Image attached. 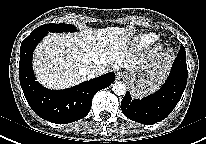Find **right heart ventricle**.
Listing matches in <instances>:
<instances>
[{
  "mask_svg": "<svg viewBox=\"0 0 206 144\" xmlns=\"http://www.w3.org/2000/svg\"><path fill=\"white\" fill-rule=\"evenodd\" d=\"M156 39L157 35L154 33H142L134 38L133 44L137 48H145L152 44Z\"/></svg>",
  "mask_w": 206,
  "mask_h": 144,
  "instance_id": "1",
  "label": "right heart ventricle"
}]
</instances>
